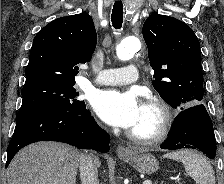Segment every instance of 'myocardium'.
<instances>
[{"label": "myocardium", "instance_id": "obj_1", "mask_svg": "<svg viewBox=\"0 0 224 184\" xmlns=\"http://www.w3.org/2000/svg\"><path fill=\"white\" fill-rule=\"evenodd\" d=\"M143 106L155 109L160 118L155 133L151 136H140L133 131H128V137L142 145H152L162 142L169 135L174 123L175 115L171 106L160 98H147Z\"/></svg>", "mask_w": 224, "mask_h": 184}]
</instances>
